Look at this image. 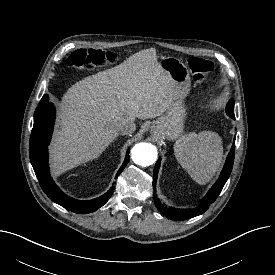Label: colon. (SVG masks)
<instances>
[{
	"label": "colon",
	"mask_w": 275,
	"mask_h": 275,
	"mask_svg": "<svg viewBox=\"0 0 275 275\" xmlns=\"http://www.w3.org/2000/svg\"><path fill=\"white\" fill-rule=\"evenodd\" d=\"M116 54L101 49H79L67 58V65L76 69H92L115 62ZM194 82L203 86L210 78L214 65L211 61L201 57H191L188 60Z\"/></svg>",
	"instance_id": "obj_1"
}]
</instances>
